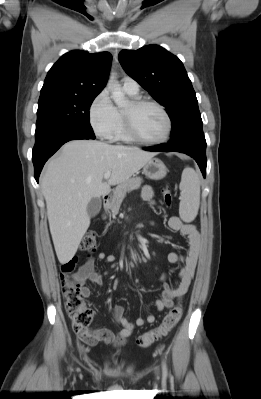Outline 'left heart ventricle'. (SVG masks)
<instances>
[{"label":"left heart ventricle","instance_id":"obj_1","mask_svg":"<svg viewBox=\"0 0 261 399\" xmlns=\"http://www.w3.org/2000/svg\"><path fill=\"white\" fill-rule=\"evenodd\" d=\"M124 111L131 114L135 128L142 137L157 140L164 136L167 124L158 108L150 105L134 108L130 103Z\"/></svg>","mask_w":261,"mask_h":399}]
</instances>
